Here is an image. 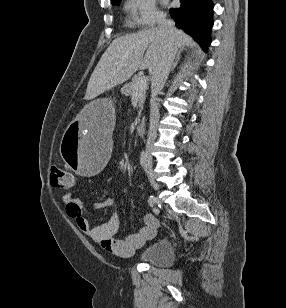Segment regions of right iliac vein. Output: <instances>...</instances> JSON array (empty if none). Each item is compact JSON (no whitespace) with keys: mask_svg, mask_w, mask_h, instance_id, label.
<instances>
[{"mask_svg":"<svg viewBox=\"0 0 286 308\" xmlns=\"http://www.w3.org/2000/svg\"><path fill=\"white\" fill-rule=\"evenodd\" d=\"M147 169H148V174H149V180H150V183H151V186L152 188L157 191L158 190V185L154 179V176H153V170H152V162L149 161L148 164H147Z\"/></svg>","mask_w":286,"mask_h":308,"instance_id":"obj_1","label":"right iliac vein"}]
</instances>
